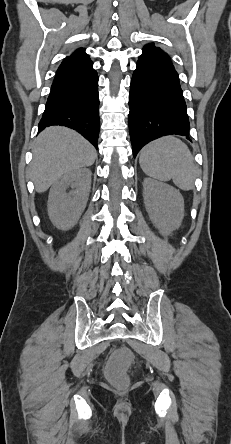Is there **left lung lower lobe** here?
Instances as JSON below:
<instances>
[{"label":"left lung lower lobe","instance_id":"0a47b994","mask_svg":"<svg viewBox=\"0 0 231 444\" xmlns=\"http://www.w3.org/2000/svg\"><path fill=\"white\" fill-rule=\"evenodd\" d=\"M129 108L134 157L146 143L161 136L189 137L186 103L178 73L167 53L143 48L131 80Z\"/></svg>","mask_w":231,"mask_h":444}]
</instances>
